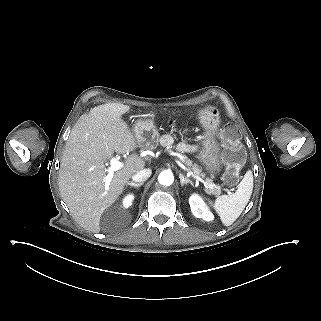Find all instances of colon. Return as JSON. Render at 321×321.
Listing matches in <instances>:
<instances>
[{"label": "colon", "mask_w": 321, "mask_h": 321, "mask_svg": "<svg viewBox=\"0 0 321 321\" xmlns=\"http://www.w3.org/2000/svg\"><path fill=\"white\" fill-rule=\"evenodd\" d=\"M170 126H175L174 120H169ZM225 149L221 153V159L226 165L224 180L227 183H234L239 176V168L244 159L242 146L239 142V134L233 125H229L223 132Z\"/></svg>", "instance_id": "5ec220e1"}]
</instances>
